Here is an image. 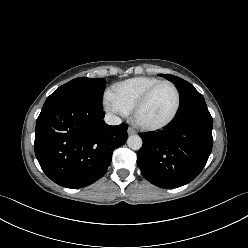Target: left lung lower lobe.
Listing matches in <instances>:
<instances>
[{
    "mask_svg": "<svg viewBox=\"0 0 248 248\" xmlns=\"http://www.w3.org/2000/svg\"><path fill=\"white\" fill-rule=\"evenodd\" d=\"M212 117L206 103L180 113L164 130L140 134L137 164L143 176L161 188H176L195 179L212 150Z\"/></svg>",
    "mask_w": 248,
    "mask_h": 248,
    "instance_id": "obj_1",
    "label": "left lung lower lobe"
}]
</instances>
